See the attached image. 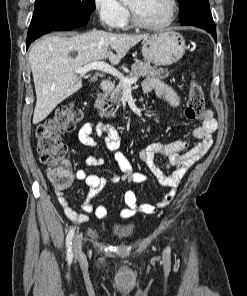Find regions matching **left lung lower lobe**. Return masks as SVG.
Segmentation results:
<instances>
[{"mask_svg":"<svg viewBox=\"0 0 247 296\" xmlns=\"http://www.w3.org/2000/svg\"><path fill=\"white\" fill-rule=\"evenodd\" d=\"M181 25H191L202 28L211 33L217 41L215 23L209 6L199 7L197 10L182 19Z\"/></svg>","mask_w":247,"mask_h":296,"instance_id":"0a47b994","label":"left lung lower lobe"}]
</instances>
